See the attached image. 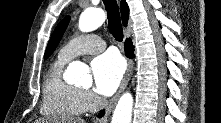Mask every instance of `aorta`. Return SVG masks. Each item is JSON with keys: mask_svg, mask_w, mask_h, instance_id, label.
<instances>
[{"mask_svg": "<svg viewBox=\"0 0 221 123\" xmlns=\"http://www.w3.org/2000/svg\"><path fill=\"white\" fill-rule=\"evenodd\" d=\"M106 19L102 9L87 8L79 18V29L82 32H90L100 27ZM72 82L83 86L92 83V77L87 67L81 62L74 61L67 69ZM133 97L130 93H124L118 101L113 113L111 123H131Z\"/></svg>", "mask_w": 221, "mask_h": 123, "instance_id": "1", "label": "aorta"}]
</instances>
